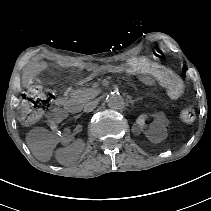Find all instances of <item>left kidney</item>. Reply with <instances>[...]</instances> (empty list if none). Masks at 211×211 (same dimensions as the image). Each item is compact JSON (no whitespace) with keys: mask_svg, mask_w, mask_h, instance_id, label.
<instances>
[{"mask_svg":"<svg viewBox=\"0 0 211 211\" xmlns=\"http://www.w3.org/2000/svg\"><path fill=\"white\" fill-rule=\"evenodd\" d=\"M167 123V116L164 113H157L154 116V121L147 124V117L144 114H139L136 117L135 129L142 135H147L149 132L159 131L165 128Z\"/></svg>","mask_w":211,"mask_h":211,"instance_id":"1","label":"left kidney"}]
</instances>
